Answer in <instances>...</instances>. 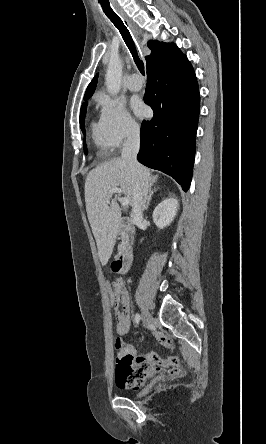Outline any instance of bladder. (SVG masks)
<instances>
[{"label": "bladder", "instance_id": "31cf9c89", "mask_svg": "<svg viewBox=\"0 0 266 444\" xmlns=\"http://www.w3.org/2000/svg\"><path fill=\"white\" fill-rule=\"evenodd\" d=\"M155 383H156V381L153 380L149 386H147V387H145V388H143V389H141V390H139V391H134V392L132 393V395H133V396H141V395L145 394L146 392H148V391L152 388V386H153Z\"/></svg>", "mask_w": 266, "mask_h": 444}]
</instances>
